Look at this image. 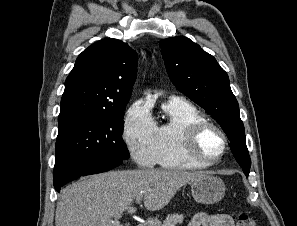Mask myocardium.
Returning <instances> with one entry per match:
<instances>
[{"instance_id":"obj_1","label":"myocardium","mask_w":297,"mask_h":226,"mask_svg":"<svg viewBox=\"0 0 297 226\" xmlns=\"http://www.w3.org/2000/svg\"><path fill=\"white\" fill-rule=\"evenodd\" d=\"M208 130H214L219 135L222 143L218 155L213 158L204 156L199 150L200 138ZM182 143L188 158L203 167H207L218 163L223 158L228 147V137L218 124L209 120H203L191 124L184 130Z\"/></svg>"}]
</instances>
